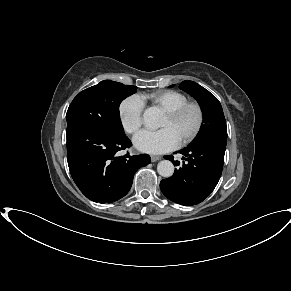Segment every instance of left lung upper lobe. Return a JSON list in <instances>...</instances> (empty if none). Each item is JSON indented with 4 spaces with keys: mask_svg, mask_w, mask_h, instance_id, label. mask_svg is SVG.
<instances>
[{
    "mask_svg": "<svg viewBox=\"0 0 291 291\" xmlns=\"http://www.w3.org/2000/svg\"><path fill=\"white\" fill-rule=\"evenodd\" d=\"M179 87L198 101L203 112L204 123L200 128L198 136L192 143L203 140L227 141L226 121L218 99L204 87L193 81L185 80Z\"/></svg>",
    "mask_w": 291,
    "mask_h": 291,
    "instance_id": "left-lung-upper-lobe-1",
    "label": "left lung upper lobe"
}]
</instances>
